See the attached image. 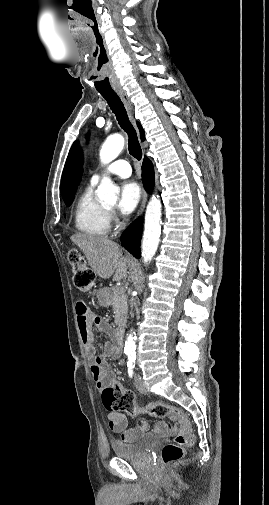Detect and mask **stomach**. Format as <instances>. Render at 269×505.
I'll use <instances>...</instances> for the list:
<instances>
[{
  "label": "stomach",
  "instance_id": "1",
  "mask_svg": "<svg viewBox=\"0 0 269 505\" xmlns=\"http://www.w3.org/2000/svg\"><path fill=\"white\" fill-rule=\"evenodd\" d=\"M105 291H106V290H101V291L99 292V295H98L100 304H102V305H104V306H106V305L108 304V301H107V299L105 298Z\"/></svg>",
  "mask_w": 269,
  "mask_h": 505
}]
</instances>
